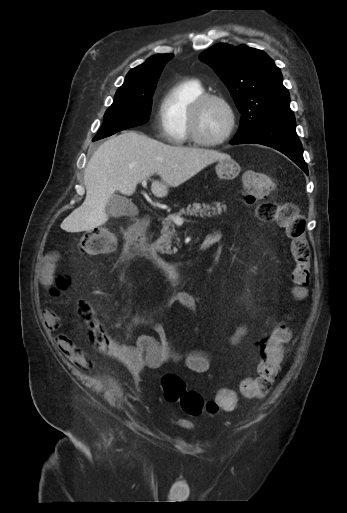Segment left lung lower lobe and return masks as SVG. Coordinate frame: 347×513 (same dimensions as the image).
Returning <instances> with one entry per match:
<instances>
[{
    "label": "left lung lower lobe",
    "instance_id": "1",
    "mask_svg": "<svg viewBox=\"0 0 347 513\" xmlns=\"http://www.w3.org/2000/svg\"><path fill=\"white\" fill-rule=\"evenodd\" d=\"M295 126V120L272 121L242 137H235L231 144L254 143L272 147L288 156L308 175Z\"/></svg>",
    "mask_w": 347,
    "mask_h": 513
}]
</instances>
